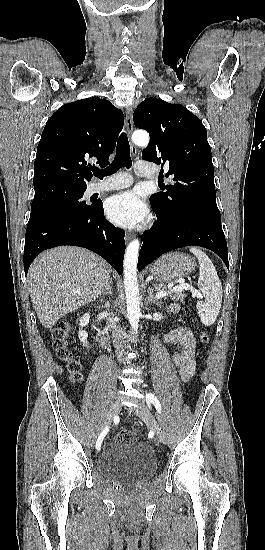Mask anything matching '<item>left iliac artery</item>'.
<instances>
[{
    "label": "left iliac artery",
    "instance_id": "1",
    "mask_svg": "<svg viewBox=\"0 0 265 550\" xmlns=\"http://www.w3.org/2000/svg\"><path fill=\"white\" fill-rule=\"evenodd\" d=\"M146 401L148 403V406H150V403H152L155 406L156 410L158 412H161V404H160L159 400L157 399V397L154 396V394L148 393L146 395Z\"/></svg>",
    "mask_w": 265,
    "mask_h": 550
}]
</instances>
